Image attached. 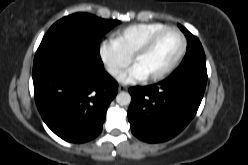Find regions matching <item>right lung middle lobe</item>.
I'll return each mask as SVG.
<instances>
[{"mask_svg": "<svg viewBox=\"0 0 248 165\" xmlns=\"http://www.w3.org/2000/svg\"><path fill=\"white\" fill-rule=\"evenodd\" d=\"M119 23L118 20H106L87 13H75L53 24L44 35L39 48L61 41H75L88 47L101 60L100 40L106 32Z\"/></svg>", "mask_w": 248, "mask_h": 165, "instance_id": "dd1d6c3e", "label": "right lung middle lobe"}]
</instances>
